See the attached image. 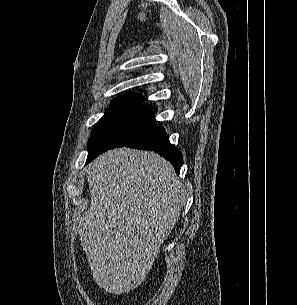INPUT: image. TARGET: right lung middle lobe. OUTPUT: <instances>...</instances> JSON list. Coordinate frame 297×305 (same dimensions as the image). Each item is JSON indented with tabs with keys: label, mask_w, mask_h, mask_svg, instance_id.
<instances>
[{
	"label": "right lung middle lobe",
	"mask_w": 297,
	"mask_h": 305,
	"mask_svg": "<svg viewBox=\"0 0 297 305\" xmlns=\"http://www.w3.org/2000/svg\"><path fill=\"white\" fill-rule=\"evenodd\" d=\"M141 102L130 99L111 102L116 105L105 112L91 133L88 158L98 150L129 143L156 126L151 109Z\"/></svg>",
	"instance_id": "dd1d6c3e"
}]
</instances>
